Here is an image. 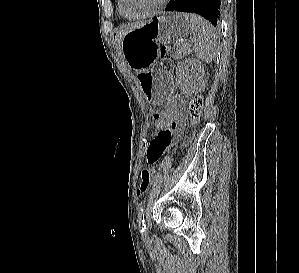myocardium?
<instances>
[{
    "label": "myocardium",
    "instance_id": "1",
    "mask_svg": "<svg viewBox=\"0 0 299 273\" xmlns=\"http://www.w3.org/2000/svg\"><path fill=\"white\" fill-rule=\"evenodd\" d=\"M168 1L169 0H160L159 3L153 9H151L150 11H148L144 14L136 15V16H130L124 12L123 0H118V8H119V12L121 13V15L124 16L125 18L130 19V20H139V19L148 18V17H151V16L157 14L165 7V5L167 4Z\"/></svg>",
    "mask_w": 299,
    "mask_h": 273
}]
</instances>
